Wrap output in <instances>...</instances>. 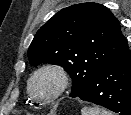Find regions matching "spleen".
Masks as SVG:
<instances>
[{
	"instance_id": "3e777b00",
	"label": "spleen",
	"mask_w": 131,
	"mask_h": 115,
	"mask_svg": "<svg viewBox=\"0 0 131 115\" xmlns=\"http://www.w3.org/2000/svg\"><path fill=\"white\" fill-rule=\"evenodd\" d=\"M81 114L82 115H112L111 113L103 109L87 108V107L81 109Z\"/></svg>"
}]
</instances>
